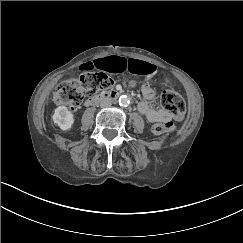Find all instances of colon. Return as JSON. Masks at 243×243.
<instances>
[{
	"mask_svg": "<svg viewBox=\"0 0 243 243\" xmlns=\"http://www.w3.org/2000/svg\"><path fill=\"white\" fill-rule=\"evenodd\" d=\"M113 80L104 73L84 72L77 78L61 82L54 91V101L58 105L77 108L81 105L85 94H95L110 89ZM162 107L175 120H181L185 114V102L175 91H163L160 97ZM174 130V123L170 120L153 125L152 131L156 135L168 134Z\"/></svg>",
	"mask_w": 243,
	"mask_h": 243,
	"instance_id": "1",
	"label": "colon"
}]
</instances>
